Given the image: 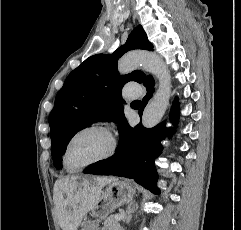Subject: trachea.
Returning a JSON list of instances; mask_svg holds the SVG:
<instances>
[{
	"label": "trachea",
	"instance_id": "trachea-1",
	"mask_svg": "<svg viewBox=\"0 0 241 230\" xmlns=\"http://www.w3.org/2000/svg\"><path fill=\"white\" fill-rule=\"evenodd\" d=\"M133 103H135V104H140L141 101H139V100H135Z\"/></svg>",
	"mask_w": 241,
	"mask_h": 230
}]
</instances>
